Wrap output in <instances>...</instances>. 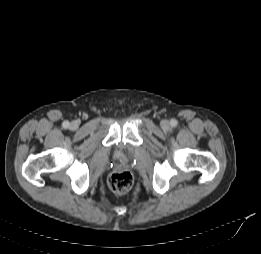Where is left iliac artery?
Returning a JSON list of instances; mask_svg holds the SVG:
<instances>
[{
    "mask_svg": "<svg viewBox=\"0 0 261 254\" xmlns=\"http://www.w3.org/2000/svg\"><path fill=\"white\" fill-rule=\"evenodd\" d=\"M177 124H178L177 120H175V119H172V120H171V126H172V127H176Z\"/></svg>",
    "mask_w": 261,
    "mask_h": 254,
    "instance_id": "44dca946",
    "label": "left iliac artery"
}]
</instances>
